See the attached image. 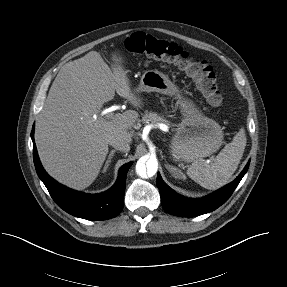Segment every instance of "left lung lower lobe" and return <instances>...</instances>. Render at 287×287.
I'll return each instance as SVG.
<instances>
[{
  "label": "left lung lower lobe",
  "instance_id": "obj_1",
  "mask_svg": "<svg viewBox=\"0 0 287 287\" xmlns=\"http://www.w3.org/2000/svg\"><path fill=\"white\" fill-rule=\"evenodd\" d=\"M248 168L249 162L234 181L212 194L199 199H189L178 195L158 174L157 187L160 191L163 209L171 215L180 217H194L212 212L228 200Z\"/></svg>",
  "mask_w": 287,
  "mask_h": 287
}]
</instances>
